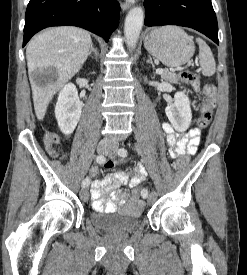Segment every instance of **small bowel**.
I'll return each mask as SVG.
<instances>
[{
  "label": "small bowel",
  "instance_id": "c3829d8e",
  "mask_svg": "<svg viewBox=\"0 0 247 275\" xmlns=\"http://www.w3.org/2000/svg\"><path fill=\"white\" fill-rule=\"evenodd\" d=\"M162 129L166 134V142L169 146V155L171 158H177L184 154L193 155L196 153L200 143V130L192 128L184 134H178L173 126L164 122ZM48 153L53 157H58L57 152L48 144ZM99 173L98 167H92L89 171L90 176L94 177ZM147 172L142 164L135 168L134 175L129 178L124 172H112L100 180L92 183L91 196L92 207L96 211L114 212L121 210L127 214H137L141 211L143 203L141 200L130 196L122 186L129 185L135 188L144 181ZM108 192L110 199L105 200L103 193Z\"/></svg>",
  "mask_w": 247,
  "mask_h": 275
}]
</instances>
